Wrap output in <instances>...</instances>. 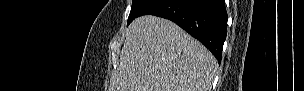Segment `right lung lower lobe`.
<instances>
[{
  "label": "right lung lower lobe",
  "instance_id": "right-lung-lower-lobe-1",
  "mask_svg": "<svg viewBox=\"0 0 304 91\" xmlns=\"http://www.w3.org/2000/svg\"><path fill=\"white\" fill-rule=\"evenodd\" d=\"M149 14L175 22L221 62L228 18L225 0H150L139 16Z\"/></svg>",
  "mask_w": 304,
  "mask_h": 91
}]
</instances>
